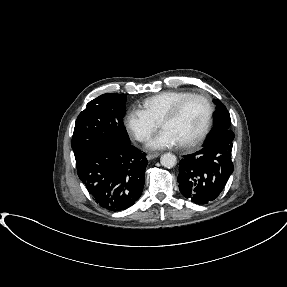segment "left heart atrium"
I'll return each instance as SVG.
<instances>
[{
	"label": "left heart atrium",
	"mask_w": 287,
	"mask_h": 287,
	"mask_svg": "<svg viewBox=\"0 0 287 287\" xmlns=\"http://www.w3.org/2000/svg\"><path fill=\"white\" fill-rule=\"evenodd\" d=\"M181 144L177 135L170 129H162L148 143L151 149L172 148Z\"/></svg>",
	"instance_id": "39dd6f15"
}]
</instances>
